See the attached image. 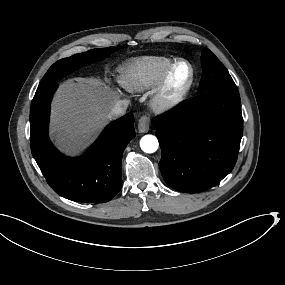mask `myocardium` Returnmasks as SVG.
Wrapping results in <instances>:
<instances>
[{"label":"myocardium","instance_id":"f54148a6","mask_svg":"<svg viewBox=\"0 0 285 285\" xmlns=\"http://www.w3.org/2000/svg\"><path fill=\"white\" fill-rule=\"evenodd\" d=\"M177 75L178 71L171 67L149 92L147 106L152 112L165 113L177 107L185 99L192 83V72L188 71L186 80H177ZM175 82L177 83L176 90L170 93Z\"/></svg>","mask_w":285,"mask_h":285}]
</instances>
